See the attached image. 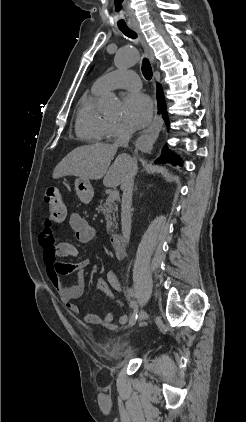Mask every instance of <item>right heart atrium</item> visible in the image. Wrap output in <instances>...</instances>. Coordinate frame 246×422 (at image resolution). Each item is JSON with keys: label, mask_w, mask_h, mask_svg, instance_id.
Here are the masks:
<instances>
[{"label": "right heart atrium", "mask_w": 246, "mask_h": 422, "mask_svg": "<svg viewBox=\"0 0 246 422\" xmlns=\"http://www.w3.org/2000/svg\"><path fill=\"white\" fill-rule=\"evenodd\" d=\"M129 130L119 122L110 121L107 124L106 138L117 139L128 134Z\"/></svg>", "instance_id": "1"}]
</instances>
